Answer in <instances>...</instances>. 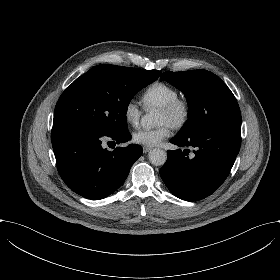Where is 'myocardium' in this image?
Masks as SVG:
<instances>
[{
  "instance_id": "obj_1",
  "label": "myocardium",
  "mask_w": 280,
  "mask_h": 280,
  "mask_svg": "<svg viewBox=\"0 0 280 280\" xmlns=\"http://www.w3.org/2000/svg\"><path fill=\"white\" fill-rule=\"evenodd\" d=\"M159 108L175 115L172 124L174 128H181L185 126L192 115L191 103L188 99L183 97H178L170 102L164 103L160 105Z\"/></svg>"
}]
</instances>
